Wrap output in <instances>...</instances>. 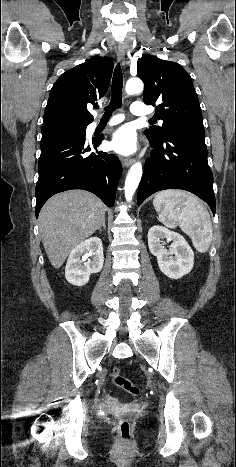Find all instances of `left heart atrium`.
<instances>
[{
  "instance_id": "1",
  "label": "left heart atrium",
  "mask_w": 236,
  "mask_h": 467,
  "mask_svg": "<svg viewBox=\"0 0 236 467\" xmlns=\"http://www.w3.org/2000/svg\"><path fill=\"white\" fill-rule=\"evenodd\" d=\"M112 149L119 154L128 155L136 151L137 139L130 126H122L116 130L110 143Z\"/></svg>"
}]
</instances>
